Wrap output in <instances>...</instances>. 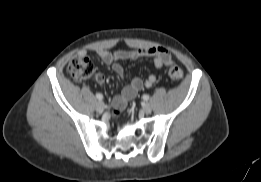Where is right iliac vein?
I'll use <instances>...</instances> for the list:
<instances>
[{
	"label": "right iliac vein",
	"mask_w": 261,
	"mask_h": 182,
	"mask_svg": "<svg viewBox=\"0 0 261 182\" xmlns=\"http://www.w3.org/2000/svg\"><path fill=\"white\" fill-rule=\"evenodd\" d=\"M104 109H105V105L102 101H99V102L96 103V110L98 112H103Z\"/></svg>",
	"instance_id": "obj_1"
}]
</instances>
